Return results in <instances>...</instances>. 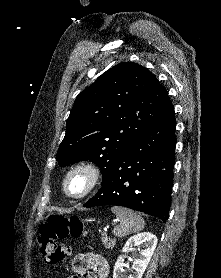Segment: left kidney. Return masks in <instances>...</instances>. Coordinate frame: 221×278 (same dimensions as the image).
Listing matches in <instances>:
<instances>
[{"label": "left kidney", "instance_id": "1", "mask_svg": "<svg viewBox=\"0 0 221 278\" xmlns=\"http://www.w3.org/2000/svg\"><path fill=\"white\" fill-rule=\"evenodd\" d=\"M143 245L144 249L139 252V258L133 262V272L129 274L128 278H142L146 267L157 246V237L149 232L138 233L130 237L124 245L122 252L128 253L133 251V246ZM122 256L118 258L115 263L113 278H123L121 273L123 271Z\"/></svg>", "mask_w": 221, "mask_h": 278}]
</instances>
